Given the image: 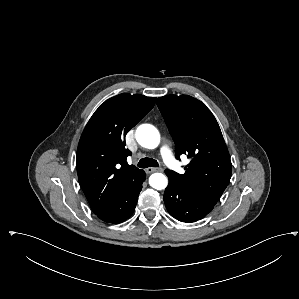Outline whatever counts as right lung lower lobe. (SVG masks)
Wrapping results in <instances>:
<instances>
[{"instance_id": "1", "label": "right lung lower lobe", "mask_w": 299, "mask_h": 299, "mask_svg": "<svg viewBox=\"0 0 299 299\" xmlns=\"http://www.w3.org/2000/svg\"><path fill=\"white\" fill-rule=\"evenodd\" d=\"M145 177L142 171L111 203L95 213L98 218L113 224L128 219L135 210Z\"/></svg>"}]
</instances>
